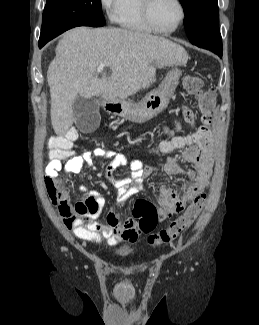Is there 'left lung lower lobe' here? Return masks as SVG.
<instances>
[{"mask_svg": "<svg viewBox=\"0 0 259 325\" xmlns=\"http://www.w3.org/2000/svg\"><path fill=\"white\" fill-rule=\"evenodd\" d=\"M212 49L221 57L222 56V42L219 48L212 47Z\"/></svg>", "mask_w": 259, "mask_h": 325, "instance_id": "1", "label": "left lung lower lobe"}]
</instances>
